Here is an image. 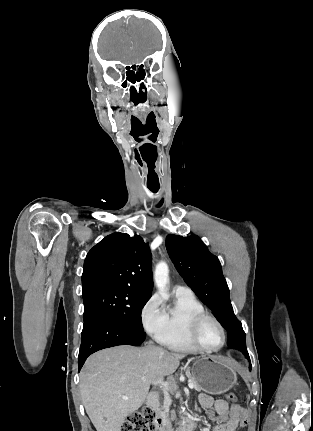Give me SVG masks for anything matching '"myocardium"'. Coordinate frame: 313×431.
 <instances>
[{
  "label": "myocardium",
  "mask_w": 313,
  "mask_h": 431,
  "mask_svg": "<svg viewBox=\"0 0 313 431\" xmlns=\"http://www.w3.org/2000/svg\"><path fill=\"white\" fill-rule=\"evenodd\" d=\"M207 320H210V321L214 322L218 326V328H219V330L221 332V335H222L221 344L218 347H216V348H209V347L204 346L199 341V338H198V332H199L202 324L205 321H207ZM188 337H189L190 342L198 350L205 351V352H217V351L221 350L225 346L226 339H227L226 338V331H225L222 323L215 316H213V315H211V314H209L207 312L199 314L198 316H196L192 320V322L190 324V327H189V331H188Z\"/></svg>",
  "instance_id": "myocardium-1"
}]
</instances>
